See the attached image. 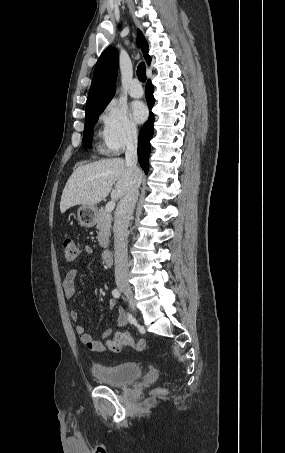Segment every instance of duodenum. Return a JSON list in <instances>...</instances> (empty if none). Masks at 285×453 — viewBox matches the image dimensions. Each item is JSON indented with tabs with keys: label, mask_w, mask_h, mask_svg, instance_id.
Segmentation results:
<instances>
[{
	"label": "duodenum",
	"mask_w": 285,
	"mask_h": 453,
	"mask_svg": "<svg viewBox=\"0 0 285 453\" xmlns=\"http://www.w3.org/2000/svg\"><path fill=\"white\" fill-rule=\"evenodd\" d=\"M102 257L105 263L110 264L113 262V251L111 249H105L102 253Z\"/></svg>",
	"instance_id": "410a0bca"
}]
</instances>
